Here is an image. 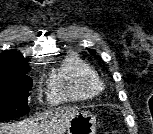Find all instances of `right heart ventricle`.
<instances>
[{
	"mask_svg": "<svg viewBox=\"0 0 153 134\" xmlns=\"http://www.w3.org/2000/svg\"><path fill=\"white\" fill-rule=\"evenodd\" d=\"M100 91L101 82L95 69L78 55L71 54L53 70L48 98L52 103L83 101Z\"/></svg>",
	"mask_w": 153,
	"mask_h": 134,
	"instance_id": "right-heart-ventricle-1",
	"label": "right heart ventricle"
}]
</instances>
